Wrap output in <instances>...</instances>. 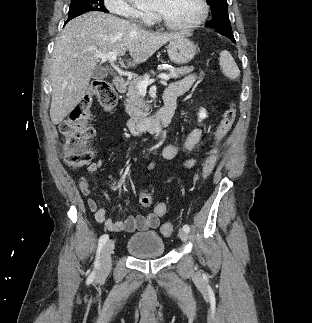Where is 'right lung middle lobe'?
I'll list each match as a JSON object with an SVG mask.
<instances>
[{
    "label": "right lung middle lobe",
    "instance_id": "obj_1",
    "mask_svg": "<svg viewBox=\"0 0 312 323\" xmlns=\"http://www.w3.org/2000/svg\"><path fill=\"white\" fill-rule=\"evenodd\" d=\"M103 1L104 0H72L67 22L87 11L108 12L104 7Z\"/></svg>",
    "mask_w": 312,
    "mask_h": 323
}]
</instances>
